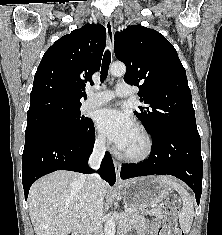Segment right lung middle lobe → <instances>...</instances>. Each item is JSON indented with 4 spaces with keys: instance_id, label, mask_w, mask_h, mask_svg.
Returning a JSON list of instances; mask_svg holds the SVG:
<instances>
[{
    "instance_id": "right-lung-middle-lobe-1",
    "label": "right lung middle lobe",
    "mask_w": 222,
    "mask_h": 235,
    "mask_svg": "<svg viewBox=\"0 0 222 235\" xmlns=\"http://www.w3.org/2000/svg\"><path fill=\"white\" fill-rule=\"evenodd\" d=\"M80 107L68 105L27 117L25 145L50 136L74 137L85 131L92 121L81 116Z\"/></svg>"
}]
</instances>
